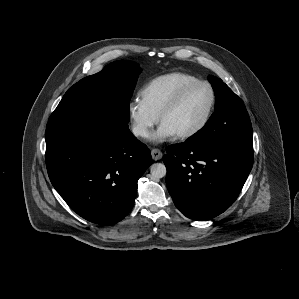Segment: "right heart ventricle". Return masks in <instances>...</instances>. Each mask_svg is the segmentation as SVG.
Instances as JSON below:
<instances>
[{
	"instance_id": "obj_1",
	"label": "right heart ventricle",
	"mask_w": 299,
	"mask_h": 299,
	"mask_svg": "<svg viewBox=\"0 0 299 299\" xmlns=\"http://www.w3.org/2000/svg\"><path fill=\"white\" fill-rule=\"evenodd\" d=\"M198 80L185 72H172L149 81L140 91V100L153 113L159 116L162 108L184 85Z\"/></svg>"
}]
</instances>
